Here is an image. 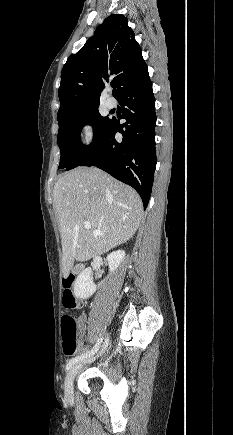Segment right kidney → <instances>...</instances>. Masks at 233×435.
Returning a JSON list of instances; mask_svg holds the SVG:
<instances>
[{"label": "right kidney", "instance_id": "right-kidney-1", "mask_svg": "<svg viewBox=\"0 0 233 435\" xmlns=\"http://www.w3.org/2000/svg\"><path fill=\"white\" fill-rule=\"evenodd\" d=\"M125 252L123 250H118L115 252H112L107 256V263L109 265L110 273H113L121 264V262L124 260ZM101 283L96 286L93 283L92 279V269L86 268L84 271H82L74 284V294L77 298L80 299H87L91 297L97 287H99Z\"/></svg>", "mask_w": 233, "mask_h": 435}]
</instances>
